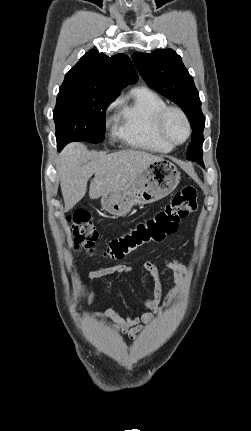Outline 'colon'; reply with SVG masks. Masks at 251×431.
<instances>
[{"label":"colon","mask_w":251,"mask_h":431,"mask_svg":"<svg viewBox=\"0 0 251 431\" xmlns=\"http://www.w3.org/2000/svg\"><path fill=\"white\" fill-rule=\"evenodd\" d=\"M197 206L196 189L192 186L183 187L152 217L112 239L102 251V257L107 260H121L144 245L163 242L176 232L180 220L194 212ZM67 221L75 249L87 255L95 254V243L99 234L90 215L76 211L67 217Z\"/></svg>","instance_id":"5ec220e1"}]
</instances>
